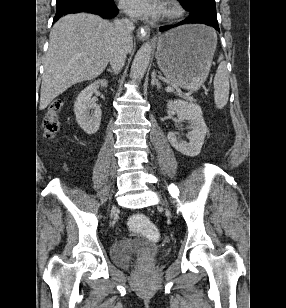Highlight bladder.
<instances>
[{"label":"bladder","mask_w":286,"mask_h":308,"mask_svg":"<svg viewBox=\"0 0 286 308\" xmlns=\"http://www.w3.org/2000/svg\"><path fill=\"white\" fill-rule=\"evenodd\" d=\"M141 246L140 243L130 239H122L112 245V258L114 262L121 266H129L132 254ZM158 257L165 256V251L158 249L156 251Z\"/></svg>","instance_id":"31cf9c89"}]
</instances>
